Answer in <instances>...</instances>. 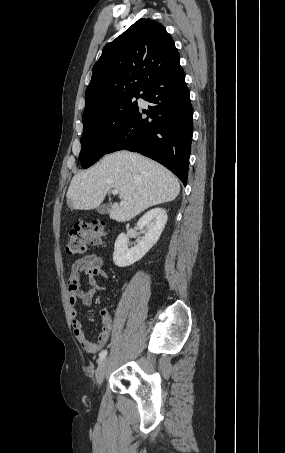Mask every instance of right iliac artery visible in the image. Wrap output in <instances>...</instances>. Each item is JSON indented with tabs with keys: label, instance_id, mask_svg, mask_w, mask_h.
I'll return each instance as SVG.
<instances>
[{
	"label": "right iliac artery",
	"instance_id": "right-iliac-artery-1",
	"mask_svg": "<svg viewBox=\"0 0 285 453\" xmlns=\"http://www.w3.org/2000/svg\"><path fill=\"white\" fill-rule=\"evenodd\" d=\"M106 355H107V350H103L99 355L98 363H101L102 360L106 357Z\"/></svg>",
	"mask_w": 285,
	"mask_h": 453
}]
</instances>
